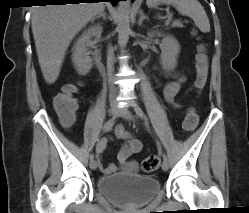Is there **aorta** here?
<instances>
[{"label": "aorta", "instance_id": "aorta-1", "mask_svg": "<svg viewBox=\"0 0 249 213\" xmlns=\"http://www.w3.org/2000/svg\"><path fill=\"white\" fill-rule=\"evenodd\" d=\"M130 2L120 1L118 5V44L124 48L129 40L130 32Z\"/></svg>", "mask_w": 249, "mask_h": 213}]
</instances>
